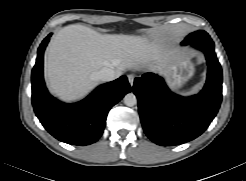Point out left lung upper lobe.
<instances>
[{"instance_id":"1","label":"left lung upper lobe","mask_w":246,"mask_h":181,"mask_svg":"<svg viewBox=\"0 0 246 181\" xmlns=\"http://www.w3.org/2000/svg\"><path fill=\"white\" fill-rule=\"evenodd\" d=\"M206 38H210V36L205 31H197L188 35L182 43L188 44L198 39H206Z\"/></svg>"}]
</instances>
